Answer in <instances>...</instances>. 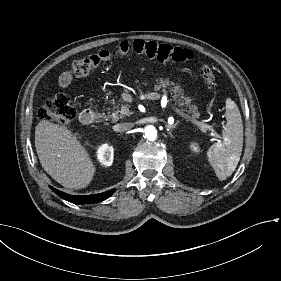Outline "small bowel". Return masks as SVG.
Listing matches in <instances>:
<instances>
[{
	"label": "small bowel",
	"instance_id": "1",
	"mask_svg": "<svg viewBox=\"0 0 281 281\" xmlns=\"http://www.w3.org/2000/svg\"><path fill=\"white\" fill-rule=\"evenodd\" d=\"M72 79L73 77L70 71H65L59 77V84L61 87L66 88L70 85Z\"/></svg>",
	"mask_w": 281,
	"mask_h": 281
}]
</instances>
